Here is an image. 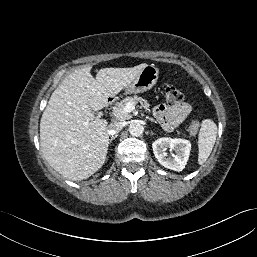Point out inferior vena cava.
Masks as SVG:
<instances>
[{
    "instance_id": "1",
    "label": "inferior vena cava",
    "mask_w": 257,
    "mask_h": 257,
    "mask_svg": "<svg viewBox=\"0 0 257 257\" xmlns=\"http://www.w3.org/2000/svg\"><path fill=\"white\" fill-rule=\"evenodd\" d=\"M123 128V125L121 122H113L108 126V130L107 133L108 135H116L117 133H119Z\"/></svg>"
}]
</instances>
